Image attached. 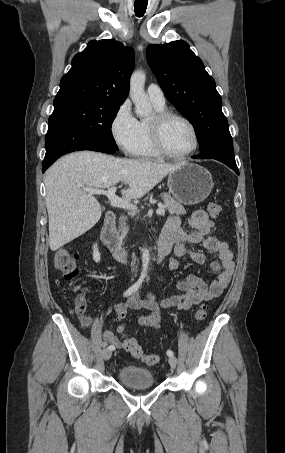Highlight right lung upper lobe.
I'll use <instances>...</instances> for the list:
<instances>
[{"label":"right lung upper lobe","mask_w":285,"mask_h":453,"mask_svg":"<svg viewBox=\"0 0 285 453\" xmlns=\"http://www.w3.org/2000/svg\"><path fill=\"white\" fill-rule=\"evenodd\" d=\"M134 68V50L114 39L92 40L74 56L54 100L105 98L124 102Z\"/></svg>","instance_id":"obj_1"}]
</instances>
